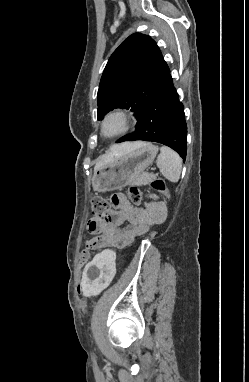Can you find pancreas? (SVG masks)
I'll use <instances>...</instances> for the list:
<instances>
[{"instance_id":"cf45deb5","label":"pancreas","mask_w":249,"mask_h":382,"mask_svg":"<svg viewBox=\"0 0 249 382\" xmlns=\"http://www.w3.org/2000/svg\"><path fill=\"white\" fill-rule=\"evenodd\" d=\"M153 178V175L142 174L131 181V185L142 186L148 184Z\"/></svg>"}]
</instances>
